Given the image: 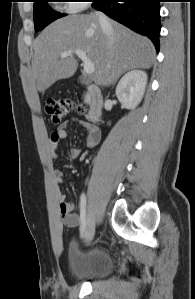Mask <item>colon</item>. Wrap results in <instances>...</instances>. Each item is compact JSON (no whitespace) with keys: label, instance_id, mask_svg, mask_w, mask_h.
Wrapping results in <instances>:
<instances>
[{"label":"colon","instance_id":"1","mask_svg":"<svg viewBox=\"0 0 195 299\" xmlns=\"http://www.w3.org/2000/svg\"><path fill=\"white\" fill-rule=\"evenodd\" d=\"M45 107L54 124L60 123L73 108L82 113L85 111L83 106H77L72 100L64 97L49 98Z\"/></svg>","mask_w":195,"mask_h":299}]
</instances>
